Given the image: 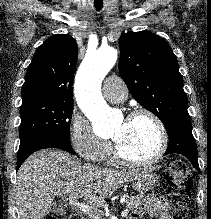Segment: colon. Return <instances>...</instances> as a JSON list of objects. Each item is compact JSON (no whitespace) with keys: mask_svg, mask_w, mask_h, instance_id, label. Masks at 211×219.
Listing matches in <instances>:
<instances>
[{"mask_svg":"<svg viewBox=\"0 0 211 219\" xmlns=\"http://www.w3.org/2000/svg\"><path fill=\"white\" fill-rule=\"evenodd\" d=\"M188 172V166L182 160H174L165 170V194L173 219H186L188 216L192 187ZM47 219L59 218L49 216ZM67 219H73V216Z\"/></svg>","mask_w":211,"mask_h":219,"instance_id":"colon-1","label":"colon"}]
</instances>
